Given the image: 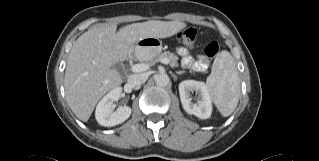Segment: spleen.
Instances as JSON below:
<instances>
[{
	"label": "spleen",
	"mask_w": 319,
	"mask_h": 161,
	"mask_svg": "<svg viewBox=\"0 0 319 161\" xmlns=\"http://www.w3.org/2000/svg\"><path fill=\"white\" fill-rule=\"evenodd\" d=\"M206 86L222 116L231 115L238 105L241 90L236 63L228 51L217 54Z\"/></svg>",
	"instance_id": "spleen-1"
}]
</instances>
